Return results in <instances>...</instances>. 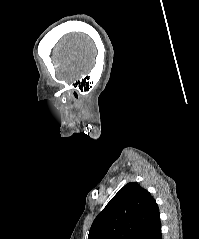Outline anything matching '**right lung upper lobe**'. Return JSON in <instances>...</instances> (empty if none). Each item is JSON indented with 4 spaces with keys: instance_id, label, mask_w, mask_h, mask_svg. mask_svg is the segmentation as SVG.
Listing matches in <instances>:
<instances>
[{
    "instance_id": "cb5924a9",
    "label": "right lung upper lobe",
    "mask_w": 199,
    "mask_h": 239,
    "mask_svg": "<svg viewBox=\"0 0 199 239\" xmlns=\"http://www.w3.org/2000/svg\"><path fill=\"white\" fill-rule=\"evenodd\" d=\"M159 217L151 194L138 183L130 182L95 218L88 239H140Z\"/></svg>"
}]
</instances>
